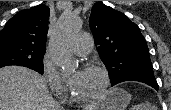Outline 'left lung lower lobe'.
<instances>
[{
  "label": "left lung lower lobe",
  "mask_w": 171,
  "mask_h": 110,
  "mask_svg": "<svg viewBox=\"0 0 171 110\" xmlns=\"http://www.w3.org/2000/svg\"><path fill=\"white\" fill-rule=\"evenodd\" d=\"M124 81H139V82H143L151 87H153L154 89H156L158 91L159 86L156 82L155 79H145V78H137V79H128V80H124ZM123 82V81H122ZM114 86V85H112Z\"/></svg>",
  "instance_id": "1"
}]
</instances>
